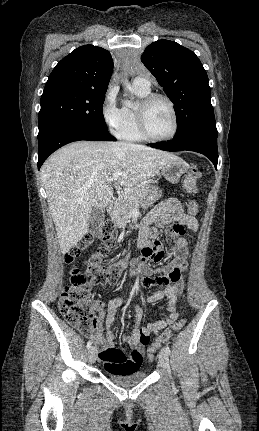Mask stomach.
I'll list each match as a JSON object with an SVG mask.
<instances>
[{
	"label": "stomach",
	"instance_id": "1",
	"mask_svg": "<svg viewBox=\"0 0 259 431\" xmlns=\"http://www.w3.org/2000/svg\"><path fill=\"white\" fill-rule=\"evenodd\" d=\"M189 167L188 163L181 158H178L165 164L160 170V173L167 181L177 183L181 176L188 171ZM161 195V190L158 187L152 185L149 186V191L141 203V206L147 208L159 199Z\"/></svg>",
	"mask_w": 259,
	"mask_h": 431
}]
</instances>
